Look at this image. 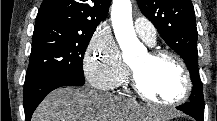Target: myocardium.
Here are the masks:
<instances>
[{
    "label": "myocardium",
    "mask_w": 217,
    "mask_h": 121,
    "mask_svg": "<svg viewBox=\"0 0 217 121\" xmlns=\"http://www.w3.org/2000/svg\"><path fill=\"white\" fill-rule=\"evenodd\" d=\"M149 57L152 60H157L160 58H170L173 60V62L176 64V66L179 68V70L182 73V77H183V81H184V86H183V90L181 92V94L174 100L172 101H168V102H163L160 101L152 96H150L146 90L143 88L140 79L138 77V74L136 73V71L130 67V78H131V84H132V88L135 91V93L142 98L143 100L152 103V104H156V105H161V106H166V107H175L178 106L180 104H182L183 102H185L192 91V79L190 76V72L185 64V62L183 61V59L177 55L176 53H174L173 51L170 50H164V49H158V50H153L151 52L148 53Z\"/></svg>",
    "instance_id": "1"
}]
</instances>
